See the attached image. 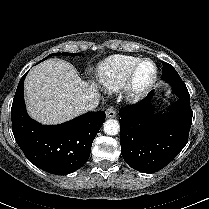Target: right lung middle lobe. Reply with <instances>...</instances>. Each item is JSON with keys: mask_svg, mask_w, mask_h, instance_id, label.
I'll return each mask as SVG.
<instances>
[{"mask_svg": "<svg viewBox=\"0 0 209 209\" xmlns=\"http://www.w3.org/2000/svg\"><path fill=\"white\" fill-rule=\"evenodd\" d=\"M60 54H63V55H71V56H74V55H76L75 53H53V54H51V55H49V56H52V55H60ZM48 56V57H49ZM45 59H47V58H45ZM45 59H43V60H45ZM42 60V61H43Z\"/></svg>", "mask_w": 209, "mask_h": 209, "instance_id": "1", "label": "right lung middle lobe"}]
</instances>
